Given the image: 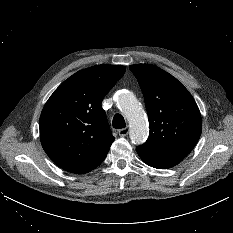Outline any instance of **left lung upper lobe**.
<instances>
[{"instance_id": "left-lung-upper-lobe-1", "label": "left lung upper lobe", "mask_w": 233, "mask_h": 233, "mask_svg": "<svg viewBox=\"0 0 233 233\" xmlns=\"http://www.w3.org/2000/svg\"><path fill=\"white\" fill-rule=\"evenodd\" d=\"M144 95L150 133L143 149L185 158L202 131L199 108L188 90L166 71L150 64L129 66Z\"/></svg>"}]
</instances>
